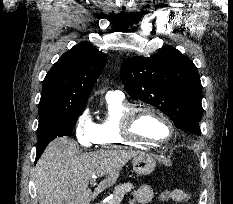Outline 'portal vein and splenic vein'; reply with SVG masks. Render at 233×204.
Here are the masks:
<instances>
[{
    "label": "portal vein and splenic vein",
    "instance_id": "18ae733b",
    "mask_svg": "<svg viewBox=\"0 0 233 204\" xmlns=\"http://www.w3.org/2000/svg\"><path fill=\"white\" fill-rule=\"evenodd\" d=\"M90 184L91 185H95L96 184V180L95 179L90 180Z\"/></svg>",
    "mask_w": 233,
    "mask_h": 204
}]
</instances>
